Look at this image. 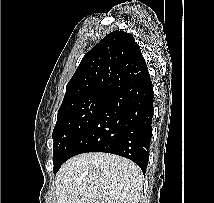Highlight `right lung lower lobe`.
<instances>
[{"label":"right lung lower lobe","mask_w":214,"mask_h":203,"mask_svg":"<svg viewBox=\"0 0 214 203\" xmlns=\"http://www.w3.org/2000/svg\"><path fill=\"white\" fill-rule=\"evenodd\" d=\"M153 94L150 75L112 94L72 146L67 160L81 153L107 152L132 160L144 174L152 136Z\"/></svg>","instance_id":"98d812e1"}]
</instances>
